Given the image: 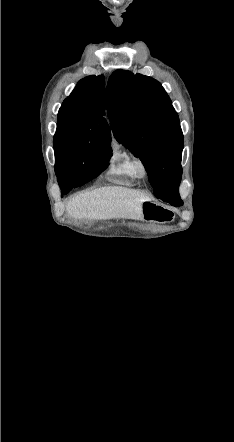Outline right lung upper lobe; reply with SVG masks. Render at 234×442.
I'll use <instances>...</instances> for the list:
<instances>
[{"mask_svg": "<svg viewBox=\"0 0 234 442\" xmlns=\"http://www.w3.org/2000/svg\"><path fill=\"white\" fill-rule=\"evenodd\" d=\"M105 79L89 76L78 82L58 113V124L71 127L89 141L111 142V133L104 115Z\"/></svg>", "mask_w": 234, "mask_h": 442, "instance_id": "1", "label": "right lung upper lobe"}]
</instances>
